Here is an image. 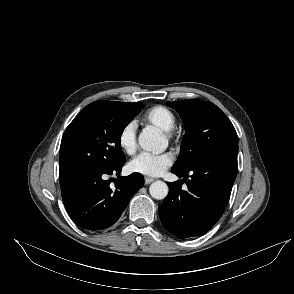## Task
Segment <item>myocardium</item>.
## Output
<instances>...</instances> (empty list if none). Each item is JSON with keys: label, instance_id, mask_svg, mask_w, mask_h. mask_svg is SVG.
I'll return each mask as SVG.
<instances>
[{"label": "myocardium", "instance_id": "1", "mask_svg": "<svg viewBox=\"0 0 294 294\" xmlns=\"http://www.w3.org/2000/svg\"><path fill=\"white\" fill-rule=\"evenodd\" d=\"M163 135L167 141H169V142L174 141L176 139L175 128L167 130V131H163Z\"/></svg>", "mask_w": 294, "mask_h": 294}]
</instances>
